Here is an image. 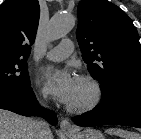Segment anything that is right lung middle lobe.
<instances>
[{"instance_id": "right-lung-middle-lobe-1", "label": "right lung middle lobe", "mask_w": 141, "mask_h": 139, "mask_svg": "<svg viewBox=\"0 0 141 139\" xmlns=\"http://www.w3.org/2000/svg\"><path fill=\"white\" fill-rule=\"evenodd\" d=\"M28 66L19 57H0V90L30 87Z\"/></svg>"}]
</instances>
